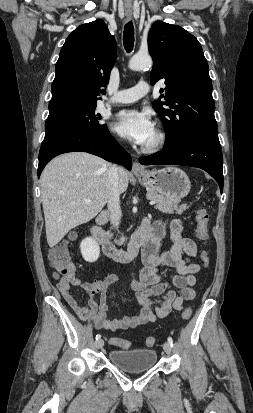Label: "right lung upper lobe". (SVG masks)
<instances>
[{
	"instance_id": "right-lung-upper-lobe-1",
	"label": "right lung upper lobe",
	"mask_w": 253,
	"mask_h": 413,
	"mask_svg": "<svg viewBox=\"0 0 253 413\" xmlns=\"http://www.w3.org/2000/svg\"><path fill=\"white\" fill-rule=\"evenodd\" d=\"M116 59V41L101 20L80 25L66 39L55 66L49 116L97 106Z\"/></svg>"
}]
</instances>
